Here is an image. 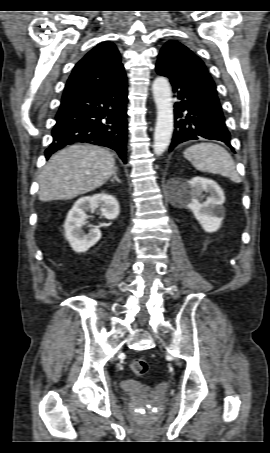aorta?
<instances>
[{"mask_svg": "<svg viewBox=\"0 0 270 453\" xmlns=\"http://www.w3.org/2000/svg\"><path fill=\"white\" fill-rule=\"evenodd\" d=\"M153 98L157 108L153 150L161 155L169 146L174 124L172 92L165 77H157L152 84Z\"/></svg>", "mask_w": 270, "mask_h": 453, "instance_id": "762f6f07", "label": "aorta"}]
</instances>
